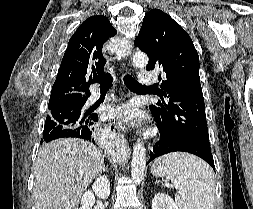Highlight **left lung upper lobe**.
Listing matches in <instances>:
<instances>
[{"label":"left lung upper lobe","instance_id":"1","mask_svg":"<svg viewBox=\"0 0 253 209\" xmlns=\"http://www.w3.org/2000/svg\"><path fill=\"white\" fill-rule=\"evenodd\" d=\"M134 45L149 57L146 70L162 71L157 93L162 101L149 106L162 135L211 150L199 56L190 36L168 14L154 9L145 15Z\"/></svg>","mask_w":253,"mask_h":209}]
</instances>
